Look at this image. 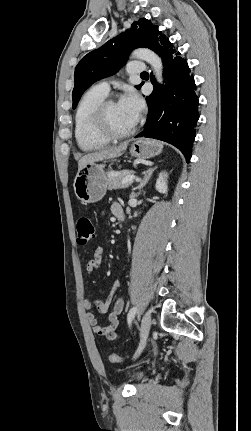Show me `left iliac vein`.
Listing matches in <instances>:
<instances>
[{
    "label": "left iliac vein",
    "instance_id": "4c4485c4",
    "mask_svg": "<svg viewBox=\"0 0 251 431\" xmlns=\"http://www.w3.org/2000/svg\"><path fill=\"white\" fill-rule=\"evenodd\" d=\"M150 326H151V315L149 312H146L142 318L141 327H140L141 341L137 352L138 354L143 350V348L146 345V341L150 331Z\"/></svg>",
    "mask_w": 251,
    "mask_h": 431
}]
</instances>
